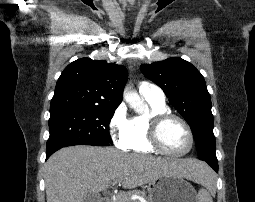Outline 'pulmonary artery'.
<instances>
[{
    "label": "pulmonary artery",
    "mask_w": 255,
    "mask_h": 202,
    "mask_svg": "<svg viewBox=\"0 0 255 202\" xmlns=\"http://www.w3.org/2000/svg\"><path fill=\"white\" fill-rule=\"evenodd\" d=\"M139 93L142 97L146 99H150L156 102H165V95L161 88L157 85L149 83V82H142L139 85Z\"/></svg>",
    "instance_id": "obj_1"
}]
</instances>
